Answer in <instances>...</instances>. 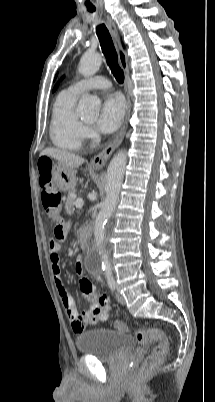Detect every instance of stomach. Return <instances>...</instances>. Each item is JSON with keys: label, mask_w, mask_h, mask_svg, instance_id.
<instances>
[{"label": "stomach", "mask_w": 215, "mask_h": 402, "mask_svg": "<svg viewBox=\"0 0 215 402\" xmlns=\"http://www.w3.org/2000/svg\"><path fill=\"white\" fill-rule=\"evenodd\" d=\"M51 176L55 185L64 192H69L76 185V171L61 162L53 163Z\"/></svg>", "instance_id": "obj_1"}]
</instances>
